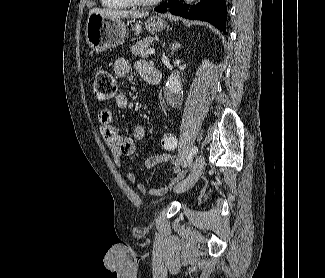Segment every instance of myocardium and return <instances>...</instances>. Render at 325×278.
Returning <instances> with one entry per match:
<instances>
[{
  "label": "myocardium",
  "mask_w": 325,
  "mask_h": 278,
  "mask_svg": "<svg viewBox=\"0 0 325 278\" xmlns=\"http://www.w3.org/2000/svg\"><path fill=\"white\" fill-rule=\"evenodd\" d=\"M133 6H151L158 3L160 0H127Z\"/></svg>",
  "instance_id": "f54148a6"
}]
</instances>
